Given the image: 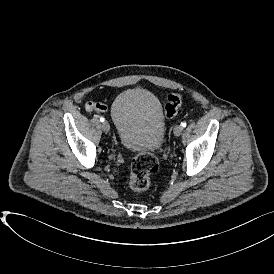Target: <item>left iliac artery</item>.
Returning a JSON list of instances; mask_svg holds the SVG:
<instances>
[{"label": "left iliac artery", "mask_w": 274, "mask_h": 274, "mask_svg": "<svg viewBox=\"0 0 274 274\" xmlns=\"http://www.w3.org/2000/svg\"><path fill=\"white\" fill-rule=\"evenodd\" d=\"M181 126H182V127H186V122H182V123H181Z\"/></svg>", "instance_id": "44dca946"}]
</instances>
